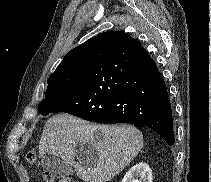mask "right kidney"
<instances>
[{"mask_svg":"<svg viewBox=\"0 0 211 182\" xmlns=\"http://www.w3.org/2000/svg\"><path fill=\"white\" fill-rule=\"evenodd\" d=\"M122 182H152V171L146 162H140L126 173Z\"/></svg>","mask_w":211,"mask_h":182,"instance_id":"1","label":"right kidney"}]
</instances>
